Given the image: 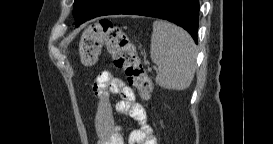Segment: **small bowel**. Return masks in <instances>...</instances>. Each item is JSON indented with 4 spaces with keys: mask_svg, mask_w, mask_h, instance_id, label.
<instances>
[{
    "mask_svg": "<svg viewBox=\"0 0 273 144\" xmlns=\"http://www.w3.org/2000/svg\"><path fill=\"white\" fill-rule=\"evenodd\" d=\"M92 92L97 101L95 128L100 144H124L121 128L114 121L111 95L118 96L116 111L137 126L129 132L128 143L157 144L145 108L136 101L133 89L121 78L110 71H102L93 83Z\"/></svg>",
    "mask_w": 273,
    "mask_h": 144,
    "instance_id": "c3829d8e",
    "label": "small bowel"
}]
</instances>
